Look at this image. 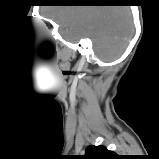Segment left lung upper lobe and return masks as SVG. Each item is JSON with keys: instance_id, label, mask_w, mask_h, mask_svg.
<instances>
[{"instance_id": "5c2ea615", "label": "left lung upper lobe", "mask_w": 159, "mask_h": 159, "mask_svg": "<svg viewBox=\"0 0 159 159\" xmlns=\"http://www.w3.org/2000/svg\"><path fill=\"white\" fill-rule=\"evenodd\" d=\"M80 159H120L119 155L104 146H88Z\"/></svg>"}]
</instances>
